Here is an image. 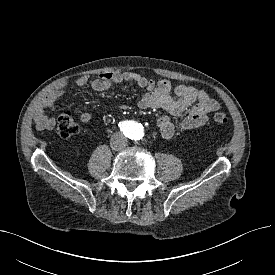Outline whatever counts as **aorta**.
<instances>
[{
  "mask_svg": "<svg viewBox=\"0 0 275 275\" xmlns=\"http://www.w3.org/2000/svg\"><path fill=\"white\" fill-rule=\"evenodd\" d=\"M126 130L134 139H138L142 135V125L139 123H130L129 125H127Z\"/></svg>",
  "mask_w": 275,
  "mask_h": 275,
  "instance_id": "aorta-1",
  "label": "aorta"
}]
</instances>
